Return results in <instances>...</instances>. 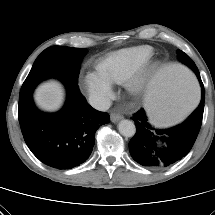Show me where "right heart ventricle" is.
Instances as JSON below:
<instances>
[{
  "label": "right heart ventricle",
  "mask_w": 215,
  "mask_h": 215,
  "mask_svg": "<svg viewBox=\"0 0 215 215\" xmlns=\"http://www.w3.org/2000/svg\"><path fill=\"white\" fill-rule=\"evenodd\" d=\"M153 55L149 46H136L113 51L96 63L97 72L111 83L121 84Z\"/></svg>",
  "instance_id": "e07e8e85"
}]
</instances>
